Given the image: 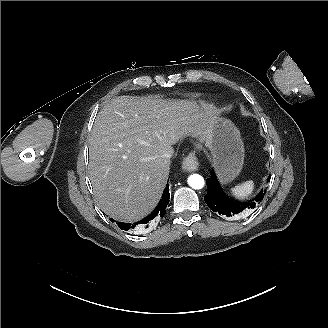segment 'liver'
I'll use <instances>...</instances> for the list:
<instances>
[{"label": "liver", "instance_id": "liver-1", "mask_svg": "<svg viewBox=\"0 0 328 328\" xmlns=\"http://www.w3.org/2000/svg\"><path fill=\"white\" fill-rule=\"evenodd\" d=\"M210 111L193 99L118 96L97 114L88 166L97 205L110 217L136 222L150 214L165 189L173 145L202 141Z\"/></svg>", "mask_w": 328, "mask_h": 328}]
</instances>
